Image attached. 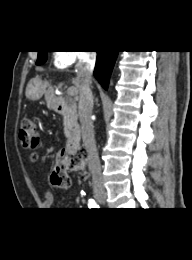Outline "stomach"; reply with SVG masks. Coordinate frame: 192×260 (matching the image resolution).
<instances>
[{"mask_svg": "<svg viewBox=\"0 0 192 260\" xmlns=\"http://www.w3.org/2000/svg\"><path fill=\"white\" fill-rule=\"evenodd\" d=\"M44 94V88L40 84H32L28 89V98L31 100H37Z\"/></svg>", "mask_w": 192, "mask_h": 260, "instance_id": "0dacf381", "label": "stomach"}]
</instances>
